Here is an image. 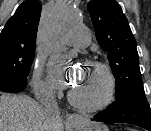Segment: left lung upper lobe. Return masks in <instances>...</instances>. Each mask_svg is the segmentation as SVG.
<instances>
[{"label": "left lung upper lobe", "mask_w": 151, "mask_h": 131, "mask_svg": "<svg viewBox=\"0 0 151 131\" xmlns=\"http://www.w3.org/2000/svg\"><path fill=\"white\" fill-rule=\"evenodd\" d=\"M87 9L96 39L107 57L116 81L119 99L135 89H144L136 41L126 16L115 0H91Z\"/></svg>", "instance_id": "left-lung-upper-lobe-1"}]
</instances>
